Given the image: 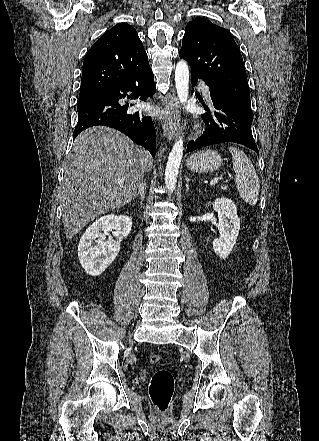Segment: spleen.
<instances>
[{
  "label": "spleen",
  "mask_w": 319,
  "mask_h": 441,
  "mask_svg": "<svg viewBox=\"0 0 319 441\" xmlns=\"http://www.w3.org/2000/svg\"><path fill=\"white\" fill-rule=\"evenodd\" d=\"M233 170L236 174V188L243 200L255 205L259 196V179L247 155L237 147H229Z\"/></svg>",
  "instance_id": "3e777b00"
}]
</instances>
